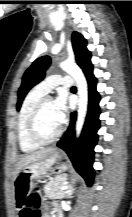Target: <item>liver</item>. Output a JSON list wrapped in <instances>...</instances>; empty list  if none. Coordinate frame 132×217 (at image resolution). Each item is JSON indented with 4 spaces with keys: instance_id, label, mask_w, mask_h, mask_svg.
<instances>
[{
    "instance_id": "6515ba94",
    "label": "liver",
    "mask_w": 132,
    "mask_h": 217,
    "mask_svg": "<svg viewBox=\"0 0 132 217\" xmlns=\"http://www.w3.org/2000/svg\"><path fill=\"white\" fill-rule=\"evenodd\" d=\"M56 152H58V149L56 148H44L31 154L21 156L16 162L15 172L13 174L14 177L22 168L26 167L27 165L46 159Z\"/></svg>"
}]
</instances>
